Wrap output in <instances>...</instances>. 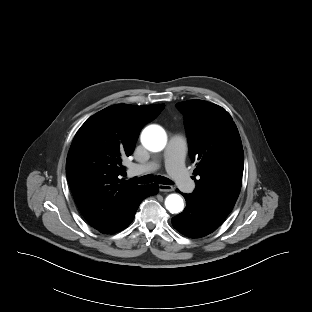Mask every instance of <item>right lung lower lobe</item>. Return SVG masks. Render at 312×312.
<instances>
[{"mask_svg":"<svg viewBox=\"0 0 312 312\" xmlns=\"http://www.w3.org/2000/svg\"><path fill=\"white\" fill-rule=\"evenodd\" d=\"M158 190L159 187L157 184L142 185L120 217L109 226L99 231L104 234H112L127 227L132 222L140 203L146 197L157 194Z\"/></svg>","mask_w":312,"mask_h":312,"instance_id":"obj_1","label":"right lung lower lobe"}]
</instances>
